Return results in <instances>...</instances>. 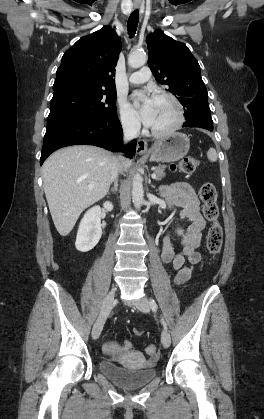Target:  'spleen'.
Segmentation results:
<instances>
[{
  "mask_svg": "<svg viewBox=\"0 0 264 419\" xmlns=\"http://www.w3.org/2000/svg\"><path fill=\"white\" fill-rule=\"evenodd\" d=\"M207 157L211 162H216L217 161V152L214 148H209L208 152H207Z\"/></svg>",
  "mask_w": 264,
  "mask_h": 419,
  "instance_id": "3e777b00",
  "label": "spleen"
}]
</instances>
